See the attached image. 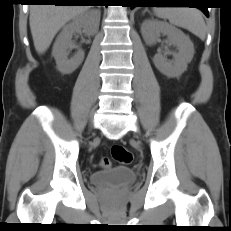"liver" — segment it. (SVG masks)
<instances>
[{"label":"liver","instance_id":"obj_1","mask_svg":"<svg viewBox=\"0 0 231 231\" xmlns=\"http://www.w3.org/2000/svg\"><path fill=\"white\" fill-rule=\"evenodd\" d=\"M88 9L84 5H32L29 23L36 51L44 53L57 32Z\"/></svg>","mask_w":231,"mask_h":231}]
</instances>
